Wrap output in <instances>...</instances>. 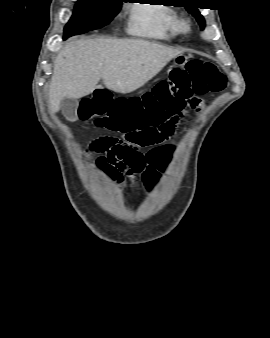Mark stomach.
<instances>
[{
  "instance_id": "1",
  "label": "stomach",
  "mask_w": 270,
  "mask_h": 338,
  "mask_svg": "<svg viewBox=\"0 0 270 338\" xmlns=\"http://www.w3.org/2000/svg\"><path fill=\"white\" fill-rule=\"evenodd\" d=\"M188 56L184 55V54H179L178 56H176L173 60V64L174 66H184L188 60Z\"/></svg>"
}]
</instances>
